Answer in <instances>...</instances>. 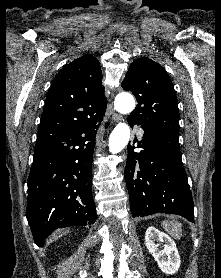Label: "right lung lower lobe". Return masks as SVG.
Wrapping results in <instances>:
<instances>
[{"instance_id": "1", "label": "right lung lower lobe", "mask_w": 221, "mask_h": 278, "mask_svg": "<svg viewBox=\"0 0 221 278\" xmlns=\"http://www.w3.org/2000/svg\"><path fill=\"white\" fill-rule=\"evenodd\" d=\"M102 119L85 121L35 148L26 217L38 246L57 228L95 222L92 159Z\"/></svg>"}]
</instances>
